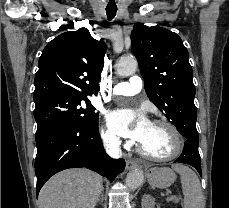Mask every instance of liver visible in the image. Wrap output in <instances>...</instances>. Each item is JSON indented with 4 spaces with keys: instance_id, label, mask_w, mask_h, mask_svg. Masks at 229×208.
<instances>
[{
    "instance_id": "liver-1",
    "label": "liver",
    "mask_w": 229,
    "mask_h": 208,
    "mask_svg": "<svg viewBox=\"0 0 229 208\" xmlns=\"http://www.w3.org/2000/svg\"><path fill=\"white\" fill-rule=\"evenodd\" d=\"M101 176L90 170H64L39 192L40 208H95L103 192Z\"/></svg>"
}]
</instances>
